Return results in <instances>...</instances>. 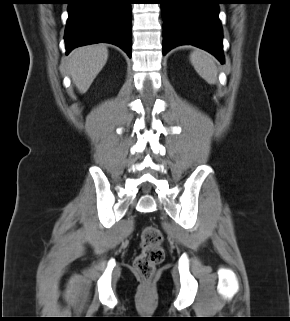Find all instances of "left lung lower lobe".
<instances>
[{
  "label": "left lung lower lobe",
  "instance_id": "0a47b994",
  "mask_svg": "<svg viewBox=\"0 0 290 321\" xmlns=\"http://www.w3.org/2000/svg\"><path fill=\"white\" fill-rule=\"evenodd\" d=\"M222 0H162L163 54L179 45H193L224 63L219 6Z\"/></svg>",
  "mask_w": 290,
  "mask_h": 321
}]
</instances>
